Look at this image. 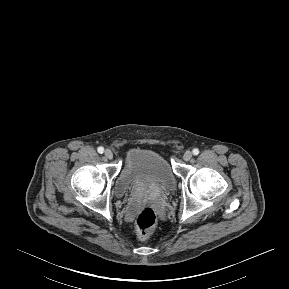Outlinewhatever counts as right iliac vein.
Listing matches in <instances>:
<instances>
[{"instance_id":"1","label":"right iliac vein","mask_w":289,"mask_h":289,"mask_svg":"<svg viewBox=\"0 0 289 289\" xmlns=\"http://www.w3.org/2000/svg\"><path fill=\"white\" fill-rule=\"evenodd\" d=\"M104 155L108 159H112L113 158V153H112V151L110 149L105 150Z\"/></svg>"}]
</instances>
